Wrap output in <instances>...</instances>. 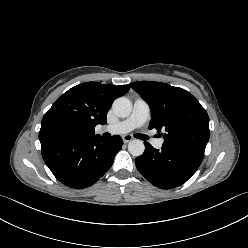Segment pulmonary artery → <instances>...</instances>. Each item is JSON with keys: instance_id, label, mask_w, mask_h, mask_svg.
Here are the masks:
<instances>
[{"instance_id": "pulmonary-artery-1", "label": "pulmonary artery", "mask_w": 248, "mask_h": 248, "mask_svg": "<svg viewBox=\"0 0 248 248\" xmlns=\"http://www.w3.org/2000/svg\"><path fill=\"white\" fill-rule=\"evenodd\" d=\"M150 118L149 105L142 99L138 98L134 101L133 110L129 117L117 122L113 125H108L104 128L106 132L112 134H123L132 131L135 128L143 126ZM163 139H154L153 145L156 148H161Z\"/></svg>"}]
</instances>
